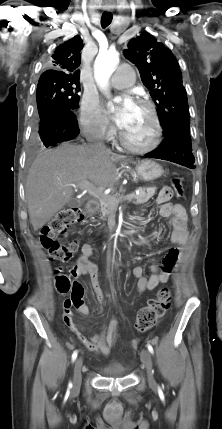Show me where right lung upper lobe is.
<instances>
[{
    "instance_id": "right-lung-upper-lobe-1",
    "label": "right lung upper lobe",
    "mask_w": 222,
    "mask_h": 429,
    "mask_svg": "<svg viewBox=\"0 0 222 429\" xmlns=\"http://www.w3.org/2000/svg\"><path fill=\"white\" fill-rule=\"evenodd\" d=\"M84 47L82 39L75 36L59 45L51 56L52 69L45 71L40 79H72L78 80L81 62V50Z\"/></svg>"
}]
</instances>
